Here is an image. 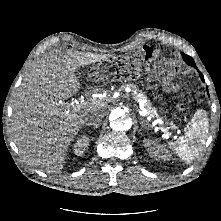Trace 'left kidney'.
<instances>
[{
  "mask_svg": "<svg viewBox=\"0 0 221 221\" xmlns=\"http://www.w3.org/2000/svg\"><path fill=\"white\" fill-rule=\"evenodd\" d=\"M143 143L151 157L161 160L170 159L167 149L163 145L159 144L156 140L145 139Z\"/></svg>",
  "mask_w": 221,
  "mask_h": 221,
  "instance_id": "left-kidney-1",
  "label": "left kidney"
}]
</instances>
